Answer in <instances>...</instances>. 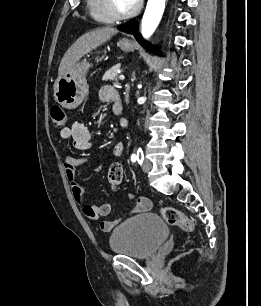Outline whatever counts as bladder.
Returning <instances> with one entry per match:
<instances>
[{
	"mask_svg": "<svg viewBox=\"0 0 261 306\" xmlns=\"http://www.w3.org/2000/svg\"><path fill=\"white\" fill-rule=\"evenodd\" d=\"M169 235L165 221L154 213L134 216L111 233L109 245L112 252L136 259L152 256Z\"/></svg>",
	"mask_w": 261,
	"mask_h": 306,
	"instance_id": "31cf9c89",
	"label": "bladder"
}]
</instances>
